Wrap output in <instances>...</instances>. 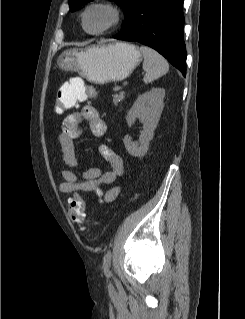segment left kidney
<instances>
[{"label": "left kidney", "instance_id": "1", "mask_svg": "<svg viewBox=\"0 0 245 319\" xmlns=\"http://www.w3.org/2000/svg\"><path fill=\"white\" fill-rule=\"evenodd\" d=\"M165 90L163 88H154L142 95H139L127 115V123L132 126L139 118L143 123V131L139 141H132L127 135L123 139L128 153L134 157H143L149 148V143L153 139L154 130L160 119L164 103Z\"/></svg>", "mask_w": 245, "mask_h": 319}]
</instances>
